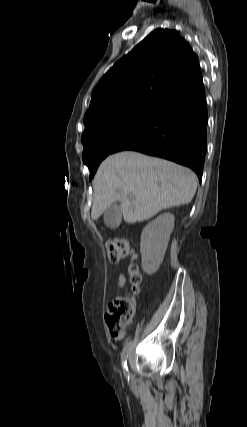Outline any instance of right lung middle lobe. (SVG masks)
<instances>
[{
  "mask_svg": "<svg viewBox=\"0 0 247 427\" xmlns=\"http://www.w3.org/2000/svg\"><path fill=\"white\" fill-rule=\"evenodd\" d=\"M157 106H134L100 118L85 128L82 135L83 162L90 180L109 154L137 132L153 115Z\"/></svg>",
  "mask_w": 247,
  "mask_h": 427,
  "instance_id": "1",
  "label": "right lung middle lobe"
}]
</instances>
